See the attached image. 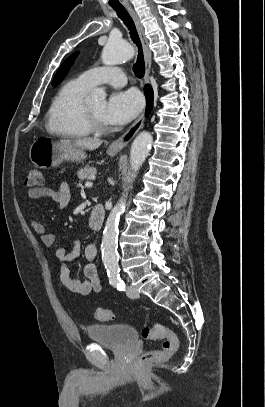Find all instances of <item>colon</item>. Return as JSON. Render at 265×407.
<instances>
[{
    "instance_id": "1",
    "label": "colon",
    "mask_w": 265,
    "mask_h": 407,
    "mask_svg": "<svg viewBox=\"0 0 265 407\" xmlns=\"http://www.w3.org/2000/svg\"><path fill=\"white\" fill-rule=\"evenodd\" d=\"M42 183V172L36 167H31L27 172L26 185L30 188H34L40 186ZM94 316L100 321H112L115 319V314L113 311L102 308H97L94 311ZM142 336L147 340L162 341L160 349L146 352L141 355L140 362L142 364L166 360L176 354L178 351L179 340L176 333L163 323L154 322L153 324L143 328Z\"/></svg>"
}]
</instances>
